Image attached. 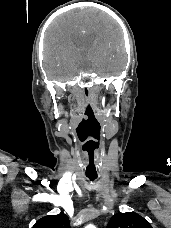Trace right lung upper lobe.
<instances>
[{"label": "right lung upper lobe", "instance_id": "obj_1", "mask_svg": "<svg viewBox=\"0 0 171 228\" xmlns=\"http://www.w3.org/2000/svg\"><path fill=\"white\" fill-rule=\"evenodd\" d=\"M32 228H70L68 217L61 212L38 220Z\"/></svg>", "mask_w": 171, "mask_h": 228}]
</instances>
